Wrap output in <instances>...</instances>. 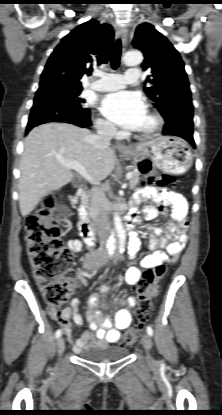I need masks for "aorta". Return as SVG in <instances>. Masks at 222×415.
I'll return each mask as SVG.
<instances>
[{
	"label": "aorta",
	"mask_w": 222,
	"mask_h": 415,
	"mask_svg": "<svg viewBox=\"0 0 222 415\" xmlns=\"http://www.w3.org/2000/svg\"><path fill=\"white\" fill-rule=\"evenodd\" d=\"M143 60L142 53L140 51H129L124 57L123 61L127 66H136L139 65ZM114 226L119 239V252H122L126 244V234L118 213L114 214Z\"/></svg>",
	"instance_id": "aorta-1"
}]
</instances>
